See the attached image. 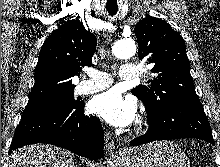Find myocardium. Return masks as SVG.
<instances>
[{"mask_svg": "<svg viewBox=\"0 0 220 167\" xmlns=\"http://www.w3.org/2000/svg\"><path fill=\"white\" fill-rule=\"evenodd\" d=\"M143 131V124H139L138 127L136 128L137 133H141Z\"/></svg>", "mask_w": 220, "mask_h": 167, "instance_id": "obj_1", "label": "myocardium"}]
</instances>
